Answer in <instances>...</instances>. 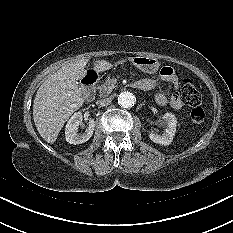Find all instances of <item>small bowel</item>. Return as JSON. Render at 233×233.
Segmentation results:
<instances>
[{"instance_id": "c3829d8e", "label": "small bowel", "mask_w": 233, "mask_h": 233, "mask_svg": "<svg viewBox=\"0 0 233 233\" xmlns=\"http://www.w3.org/2000/svg\"><path fill=\"white\" fill-rule=\"evenodd\" d=\"M146 85V90L154 89L160 81L169 82L174 86L176 91L170 96L167 97L163 93H157L155 95V101L157 104L161 106L168 105L174 110H180L183 107V101L181 98V94L179 93L178 89V77L174 70L170 67H163L160 70V74L158 78H149L142 80Z\"/></svg>"}]
</instances>
